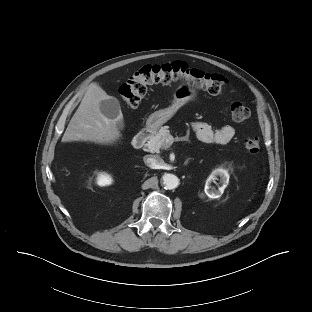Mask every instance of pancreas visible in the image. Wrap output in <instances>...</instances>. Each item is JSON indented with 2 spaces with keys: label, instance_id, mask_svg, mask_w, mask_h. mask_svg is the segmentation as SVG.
<instances>
[{
  "label": "pancreas",
  "instance_id": "cf45deb5",
  "mask_svg": "<svg viewBox=\"0 0 312 312\" xmlns=\"http://www.w3.org/2000/svg\"><path fill=\"white\" fill-rule=\"evenodd\" d=\"M171 136L168 126L161 127L155 135L150 136L146 146L150 152L159 153L161 149L171 144V142H167Z\"/></svg>",
  "mask_w": 312,
  "mask_h": 312
}]
</instances>
